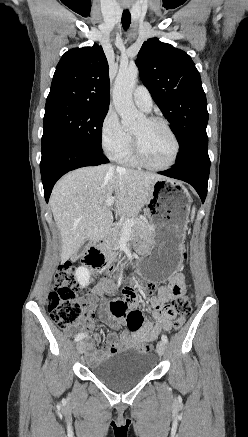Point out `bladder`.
Segmentation results:
<instances>
[{"label": "bladder", "mask_w": 248, "mask_h": 437, "mask_svg": "<svg viewBox=\"0 0 248 437\" xmlns=\"http://www.w3.org/2000/svg\"><path fill=\"white\" fill-rule=\"evenodd\" d=\"M154 363L155 359L150 353L125 350L94 366L91 372L106 386L120 392L144 379Z\"/></svg>", "instance_id": "31cf9c89"}]
</instances>
